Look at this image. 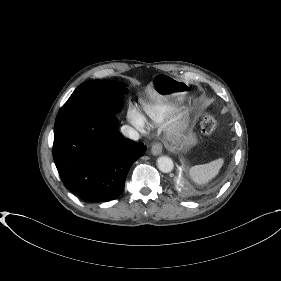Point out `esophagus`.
Listing matches in <instances>:
<instances>
[{"label": "esophagus", "mask_w": 281, "mask_h": 281, "mask_svg": "<svg viewBox=\"0 0 281 281\" xmlns=\"http://www.w3.org/2000/svg\"><path fill=\"white\" fill-rule=\"evenodd\" d=\"M163 146L161 143H155L151 147V153L155 156L161 154Z\"/></svg>", "instance_id": "34e87169"}]
</instances>
